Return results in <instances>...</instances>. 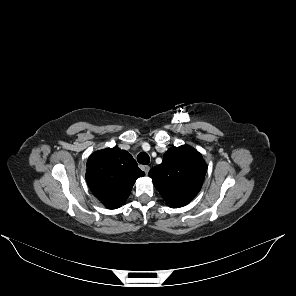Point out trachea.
<instances>
[{"label":"trachea","instance_id":"1","mask_svg":"<svg viewBox=\"0 0 296 296\" xmlns=\"http://www.w3.org/2000/svg\"><path fill=\"white\" fill-rule=\"evenodd\" d=\"M137 161L140 163V164H143V165H147L149 164L150 162V157L147 153L145 152H141L138 154L137 156Z\"/></svg>","mask_w":296,"mask_h":296}]
</instances>
